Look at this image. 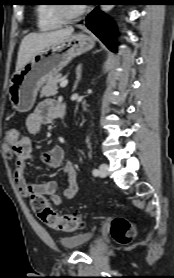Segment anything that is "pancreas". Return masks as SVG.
<instances>
[{
  "instance_id": "1",
  "label": "pancreas",
  "mask_w": 174,
  "mask_h": 278,
  "mask_svg": "<svg viewBox=\"0 0 174 278\" xmlns=\"http://www.w3.org/2000/svg\"><path fill=\"white\" fill-rule=\"evenodd\" d=\"M62 75L57 74L47 80L45 85L42 87L40 97H50L55 96L58 90V82L60 81Z\"/></svg>"
}]
</instances>
